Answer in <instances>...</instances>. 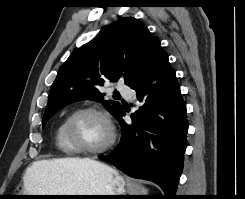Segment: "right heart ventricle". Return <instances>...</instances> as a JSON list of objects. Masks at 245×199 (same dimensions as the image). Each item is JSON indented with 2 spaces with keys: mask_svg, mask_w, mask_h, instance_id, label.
Returning <instances> with one entry per match:
<instances>
[{
  "mask_svg": "<svg viewBox=\"0 0 245 199\" xmlns=\"http://www.w3.org/2000/svg\"><path fill=\"white\" fill-rule=\"evenodd\" d=\"M64 124L65 120H63L55 131V143L58 149L65 155V156H74L76 155V151L71 147L68 140L65 137L64 133Z\"/></svg>",
  "mask_w": 245,
  "mask_h": 199,
  "instance_id": "e07e8e85",
  "label": "right heart ventricle"
}]
</instances>
